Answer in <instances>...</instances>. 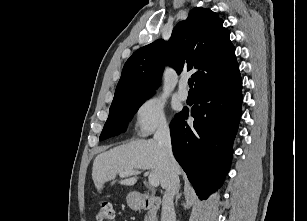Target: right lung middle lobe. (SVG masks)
<instances>
[{
    "label": "right lung middle lobe",
    "instance_id": "right-lung-middle-lobe-1",
    "mask_svg": "<svg viewBox=\"0 0 307 221\" xmlns=\"http://www.w3.org/2000/svg\"><path fill=\"white\" fill-rule=\"evenodd\" d=\"M150 96L151 93H142L128 96L115 103H112L109 111V117L104 125L99 140L102 141L124 132L128 122L137 112L138 108Z\"/></svg>",
    "mask_w": 307,
    "mask_h": 221
}]
</instances>
